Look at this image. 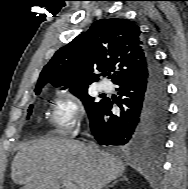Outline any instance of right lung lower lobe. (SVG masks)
<instances>
[{"mask_svg": "<svg viewBox=\"0 0 188 189\" xmlns=\"http://www.w3.org/2000/svg\"><path fill=\"white\" fill-rule=\"evenodd\" d=\"M121 108L104 99L90 119L91 132L101 145H125L135 149H161L168 121L167 87L162 70L150 52L144 73L117 84Z\"/></svg>", "mask_w": 188, "mask_h": 189, "instance_id": "1", "label": "right lung lower lobe"}]
</instances>
